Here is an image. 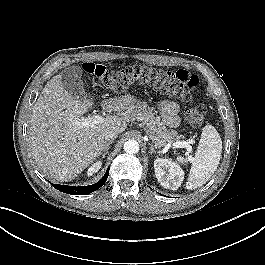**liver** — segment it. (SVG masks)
I'll list each match as a JSON object with an SVG mask.
<instances>
[{
    "label": "liver",
    "mask_w": 265,
    "mask_h": 265,
    "mask_svg": "<svg viewBox=\"0 0 265 265\" xmlns=\"http://www.w3.org/2000/svg\"><path fill=\"white\" fill-rule=\"evenodd\" d=\"M93 105L92 98L73 97L62 84V76H54L34 104L29 121L28 144L40 170L60 182L77 177L102 153L108 131L122 133L126 119L107 115L103 122L88 127L74 123ZM115 110H127V98L112 102Z\"/></svg>",
    "instance_id": "1"
}]
</instances>
